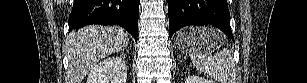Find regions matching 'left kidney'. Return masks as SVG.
Returning <instances> with one entry per match:
<instances>
[{
	"mask_svg": "<svg viewBox=\"0 0 307 83\" xmlns=\"http://www.w3.org/2000/svg\"><path fill=\"white\" fill-rule=\"evenodd\" d=\"M185 83H214V82L203 77L190 75L186 78Z\"/></svg>",
	"mask_w": 307,
	"mask_h": 83,
	"instance_id": "obj_1",
	"label": "left kidney"
}]
</instances>
